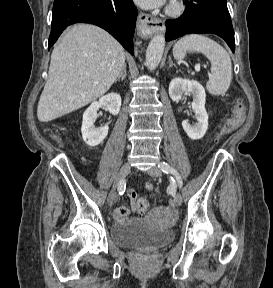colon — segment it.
Wrapping results in <instances>:
<instances>
[{
  "instance_id": "colon-1",
  "label": "colon",
  "mask_w": 273,
  "mask_h": 288,
  "mask_svg": "<svg viewBox=\"0 0 273 288\" xmlns=\"http://www.w3.org/2000/svg\"><path fill=\"white\" fill-rule=\"evenodd\" d=\"M246 113V104L242 98L235 100L231 115L224 121L218 134L217 139H220L233 131H235L244 121ZM134 208L138 213H145L149 208V203L145 199H137Z\"/></svg>"
}]
</instances>
